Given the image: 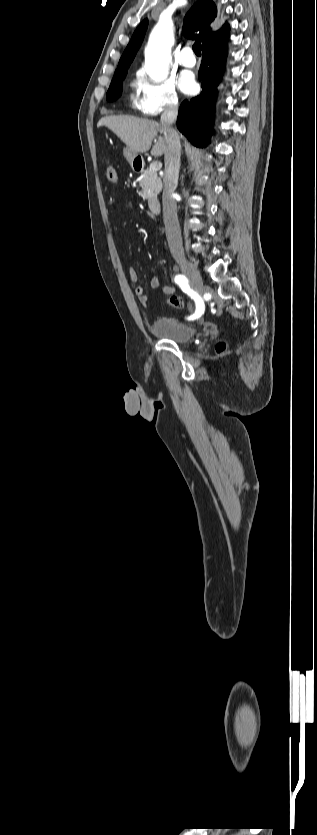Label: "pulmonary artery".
I'll return each mask as SVG.
<instances>
[{
  "mask_svg": "<svg viewBox=\"0 0 317 835\" xmlns=\"http://www.w3.org/2000/svg\"><path fill=\"white\" fill-rule=\"evenodd\" d=\"M179 60L180 63L185 67L191 68L195 66L196 59L190 46H185L181 50Z\"/></svg>",
  "mask_w": 317,
  "mask_h": 835,
  "instance_id": "obj_1",
  "label": "pulmonary artery"
}]
</instances>
